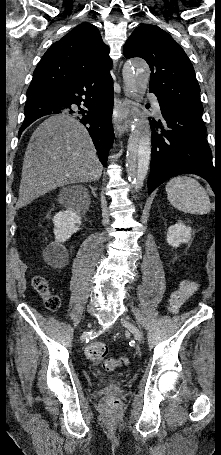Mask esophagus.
I'll use <instances>...</instances> for the list:
<instances>
[{
    "label": "esophagus",
    "mask_w": 221,
    "mask_h": 455,
    "mask_svg": "<svg viewBox=\"0 0 221 455\" xmlns=\"http://www.w3.org/2000/svg\"><path fill=\"white\" fill-rule=\"evenodd\" d=\"M131 100L125 87L121 96L115 98V131L118 138L128 133L131 128V119L129 116V109Z\"/></svg>",
    "instance_id": "1"
}]
</instances>
